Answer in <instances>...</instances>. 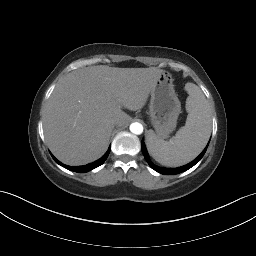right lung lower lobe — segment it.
<instances>
[{
  "instance_id": "obj_1",
  "label": "right lung lower lobe",
  "mask_w": 256,
  "mask_h": 256,
  "mask_svg": "<svg viewBox=\"0 0 256 256\" xmlns=\"http://www.w3.org/2000/svg\"><path fill=\"white\" fill-rule=\"evenodd\" d=\"M109 153H110V148H109L108 151L104 154V156L101 157L99 160H97V161H95V162H93V163L87 164V165L76 166V167H71V166L64 165L63 163H61L60 161H58L52 154H51V156L53 157V159H54L59 165L65 167L66 169L71 170V171H75V172H78V173H85V172L91 171L92 169L97 168L98 166L102 165V164L105 162V160L107 159Z\"/></svg>"
}]
</instances>
